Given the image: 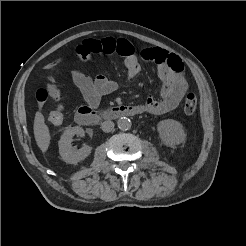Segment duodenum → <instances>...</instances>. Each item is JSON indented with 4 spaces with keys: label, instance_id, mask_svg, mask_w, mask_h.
Returning <instances> with one entry per match:
<instances>
[{
    "label": "duodenum",
    "instance_id": "1",
    "mask_svg": "<svg viewBox=\"0 0 246 246\" xmlns=\"http://www.w3.org/2000/svg\"><path fill=\"white\" fill-rule=\"evenodd\" d=\"M142 113L138 105H120L111 107L105 111H96L90 107H81L75 114V121L79 125L93 126L104 120L117 119L124 116H135Z\"/></svg>",
    "mask_w": 246,
    "mask_h": 246
}]
</instances>
